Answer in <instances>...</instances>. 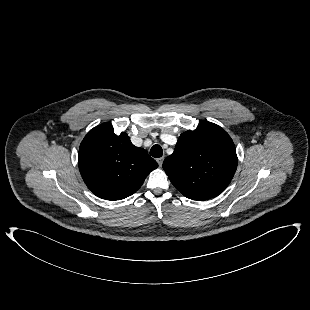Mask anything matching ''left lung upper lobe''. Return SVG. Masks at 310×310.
<instances>
[{
	"label": "left lung upper lobe",
	"mask_w": 310,
	"mask_h": 310,
	"mask_svg": "<svg viewBox=\"0 0 310 310\" xmlns=\"http://www.w3.org/2000/svg\"><path fill=\"white\" fill-rule=\"evenodd\" d=\"M235 145L220 126L202 120L182 133L173 154L163 162L172 184L187 198L204 201L218 196L237 168Z\"/></svg>",
	"instance_id": "obj_1"
}]
</instances>
